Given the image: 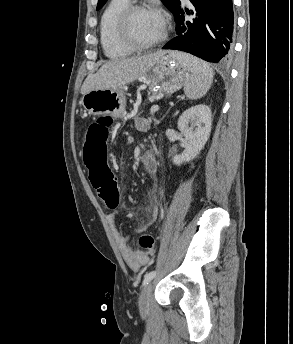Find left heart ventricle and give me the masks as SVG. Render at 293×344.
<instances>
[{
  "mask_svg": "<svg viewBox=\"0 0 293 344\" xmlns=\"http://www.w3.org/2000/svg\"><path fill=\"white\" fill-rule=\"evenodd\" d=\"M130 28L135 39L141 42H151L162 35L164 25L158 14L142 11L133 16Z\"/></svg>",
  "mask_w": 293,
  "mask_h": 344,
  "instance_id": "left-heart-ventricle-1",
  "label": "left heart ventricle"
}]
</instances>
